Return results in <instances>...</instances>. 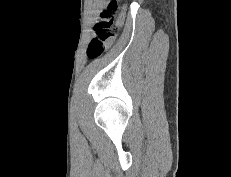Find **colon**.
Instances as JSON below:
<instances>
[{
  "label": "colon",
  "mask_w": 231,
  "mask_h": 177,
  "mask_svg": "<svg viewBox=\"0 0 231 177\" xmlns=\"http://www.w3.org/2000/svg\"><path fill=\"white\" fill-rule=\"evenodd\" d=\"M118 7V0H110L107 8L101 13L96 22L95 35L91 39L87 55L89 58L100 57L114 43L117 35V29L114 23V15Z\"/></svg>",
  "instance_id": "obj_1"
}]
</instances>
